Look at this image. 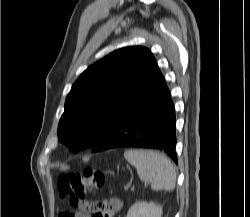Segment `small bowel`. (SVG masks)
Here are the masks:
<instances>
[{
  "instance_id": "1",
  "label": "small bowel",
  "mask_w": 250,
  "mask_h": 217,
  "mask_svg": "<svg viewBox=\"0 0 250 217\" xmlns=\"http://www.w3.org/2000/svg\"><path fill=\"white\" fill-rule=\"evenodd\" d=\"M100 203L102 205V217H113L116 213L121 211L123 207L122 201L116 197L107 199ZM71 216L72 217H89L86 214H82L78 212V210L76 211V213H74Z\"/></svg>"
}]
</instances>
